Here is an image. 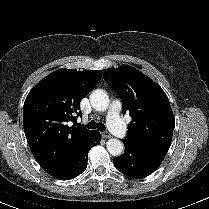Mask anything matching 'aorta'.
Returning a JSON list of instances; mask_svg holds the SVG:
<instances>
[{
	"label": "aorta",
	"instance_id": "aorta-1",
	"mask_svg": "<svg viewBox=\"0 0 209 209\" xmlns=\"http://www.w3.org/2000/svg\"><path fill=\"white\" fill-rule=\"evenodd\" d=\"M90 102L93 108L97 111H105L109 105V96L102 89L94 90L90 95ZM108 152L112 156H119L124 151V145L122 141L118 139H109L106 143Z\"/></svg>",
	"mask_w": 209,
	"mask_h": 209
}]
</instances>
